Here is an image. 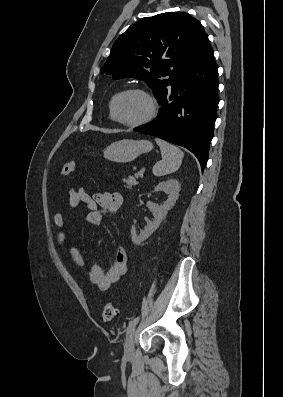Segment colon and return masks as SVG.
<instances>
[{"mask_svg":"<svg viewBox=\"0 0 283 397\" xmlns=\"http://www.w3.org/2000/svg\"><path fill=\"white\" fill-rule=\"evenodd\" d=\"M77 163L76 162H67L63 164L60 170L61 175H70L77 170ZM116 315V309L112 303H107L102 311V319L104 322L108 323L111 322Z\"/></svg>","mask_w":283,"mask_h":397,"instance_id":"obj_1","label":"colon"}]
</instances>
